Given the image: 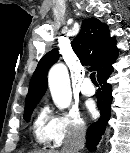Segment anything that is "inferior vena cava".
Segmentation results:
<instances>
[{"mask_svg":"<svg viewBox=\"0 0 130 153\" xmlns=\"http://www.w3.org/2000/svg\"><path fill=\"white\" fill-rule=\"evenodd\" d=\"M86 127L84 124H78L66 136L62 153H78L84 146Z\"/></svg>","mask_w":130,"mask_h":153,"instance_id":"obj_1","label":"inferior vena cava"}]
</instances>
